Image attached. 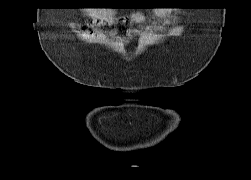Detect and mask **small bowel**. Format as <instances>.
<instances>
[{
  "label": "small bowel",
  "mask_w": 251,
  "mask_h": 180,
  "mask_svg": "<svg viewBox=\"0 0 251 180\" xmlns=\"http://www.w3.org/2000/svg\"><path fill=\"white\" fill-rule=\"evenodd\" d=\"M104 21H107V18H105ZM123 21L143 23L145 21V16L142 13L136 12V13H132L128 17L123 18ZM134 34H135L134 31H130L128 33V36L133 37Z\"/></svg>",
  "instance_id": "1"
}]
</instances>
